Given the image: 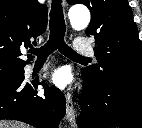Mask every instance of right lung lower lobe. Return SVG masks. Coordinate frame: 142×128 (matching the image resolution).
I'll list each match as a JSON object with an SVG mask.
<instances>
[{
    "mask_svg": "<svg viewBox=\"0 0 142 128\" xmlns=\"http://www.w3.org/2000/svg\"><path fill=\"white\" fill-rule=\"evenodd\" d=\"M38 84L45 88L40 96L37 95ZM65 113L62 92L38 79L27 81L23 76L15 84L0 88V119L17 120L38 128H58Z\"/></svg>",
    "mask_w": 142,
    "mask_h": 128,
    "instance_id": "right-lung-lower-lobe-1",
    "label": "right lung lower lobe"
}]
</instances>
